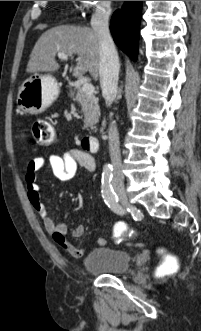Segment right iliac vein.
Wrapping results in <instances>:
<instances>
[{
    "label": "right iliac vein",
    "mask_w": 201,
    "mask_h": 331,
    "mask_svg": "<svg viewBox=\"0 0 201 331\" xmlns=\"http://www.w3.org/2000/svg\"><path fill=\"white\" fill-rule=\"evenodd\" d=\"M113 187L123 205L128 206V198L124 188V183L120 179L113 180Z\"/></svg>",
    "instance_id": "right-iliac-vein-1"
}]
</instances>
